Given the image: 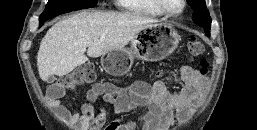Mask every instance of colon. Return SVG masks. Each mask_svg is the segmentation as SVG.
Wrapping results in <instances>:
<instances>
[{
	"label": "colon",
	"mask_w": 257,
	"mask_h": 130,
	"mask_svg": "<svg viewBox=\"0 0 257 130\" xmlns=\"http://www.w3.org/2000/svg\"><path fill=\"white\" fill-rule=\"evenodd\" d=\"M188 50L192 56H200L205 50L204 43L198 38H191L188 43ZM208 62L206 59H202L200 62V73L203 76L208 74ZM95 79L94 67L88 63L71 73L60 78L57 82L51 85L49 88V95L52 98L62 97L66 91L73 90L76 87L91 83Z\"/></svg>",
	"instance_id": "obj_1"
}]
</instances>
